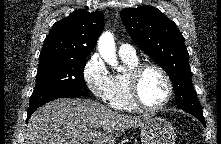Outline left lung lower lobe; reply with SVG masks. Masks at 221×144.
Here are the masks:
<instances>
[{"label":"left lung lower lobe","instance_id":"left-lung-lower-lobe-1","mask_svg":"<svg viewBox=\"0 0 221 144\" xmlns=\"http://www.w3.org/2000/svg\"><path fill=\"white\" fill-rule=\"evenodd\" d=\"M190 114H192L193 116L198 118L202 122V124L205 126V119H204L203 115H199V114H195V113H190Z\"/></svg>","mask_w":221,"mask_h":144}]
</instances>
